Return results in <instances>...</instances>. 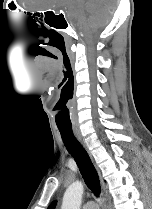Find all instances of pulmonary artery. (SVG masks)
I'll return each instance as SVG.
<instances>
[{"label": "pulmonary artery", "instance_id": "1", "mask_svg": "<svg viewBox=\"0 0 152 209\" xmlns=\"http://www.w3.org/2000/svg\"><path fill=\"white\" fill-rule=\"evenodd\" d=\"M84 209H98V206L95 202L90 201L85 204Z\"/></svg>", "mask_w": 152, "mask_h": 209}]
</instances>
